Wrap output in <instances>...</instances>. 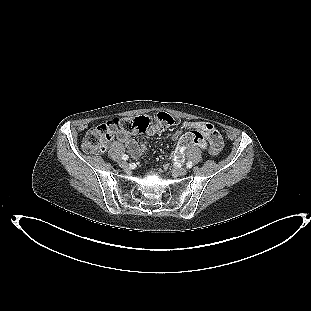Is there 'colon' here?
<instances>
[{
	"label": "colon",
	"instance_id": "colon-1",
	"mask_svg": "<svg viewBox=\"0 0 311 311\" xmlns=\"http://www.w3.org/2000/svg\"><path fill=\"white\" fill-rule=\"evenodd\" d=\"M152 121L147 116L131 118H116L104 124L93 127L87 131L83 138L82 147L88 153H102L107 143L116 133H141L145 132ZM154 124L160 126H177L180 120L176 117L159 112L154 116ZM202 135L197 131H191L179 142V148H186L191 145H203Z\"/></svg>",
	"mask_w": 311,
	"mask_h": 311
}]
</instances>
